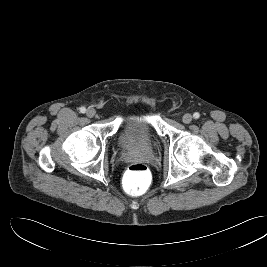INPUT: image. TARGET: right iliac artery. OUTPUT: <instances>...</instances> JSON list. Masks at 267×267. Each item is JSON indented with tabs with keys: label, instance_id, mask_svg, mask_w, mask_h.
I'll use <instances>...</instances> for the list:
<instances>
[{
	"label": "right iliac artery",
	"instance_id": "obj_1",
	"mask_svg": "<svg viewBox=\"0 0 267 267\" xmlns=\"http://www.w3.org/2000/svg\"><path fill=\"white\" fill-rule=\"evenodd\" d=\"M80 112H81V113H85V112H86V108H85V107H81V108H80Z\"/></svg>",
	"mask_w": 267,
	"mask_h": 267
}]
</instances>
